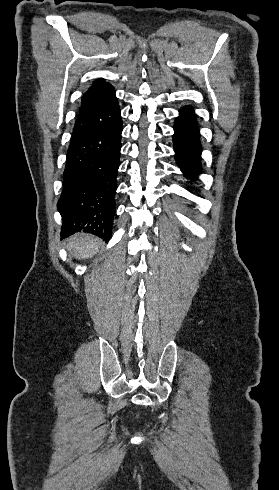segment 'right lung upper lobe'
Segmentation results:
<instances>
[{"label": "right lung upper lobe", "mask_w": 279, "mask_h": 490, "mask_svg": "<svg viewBox=\"0 0 279 490\" xmlns=\"http://www.w3.org/2000/svg\"><path fill=\"white\" fill-rule=\"evenodd\" d=\"M120 117L114 88L102 79L94 81L83 94L71 142L86 139L110 128L121 120Z\"/></svg>", "instance_id": "right-lung-upper-lobe-1"}]
</instances>
